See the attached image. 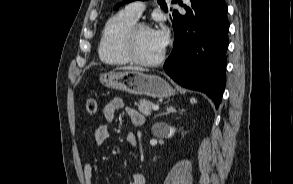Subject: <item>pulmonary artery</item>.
Segmentation results:
<instances>
[{
	"instance_id": "e3ab8cb5",
	"label": "pulmonary artery",
	"mask_w": 293,
	"mask_h": 184,
	"mask_svg": "<svg viewBox=\"0 0 293 184\" xmlns=\"http://www.w3.org/2000/svg\"><path fill=\"white\" fill-rule=\"evenodd\" d=\"M144 10V3L140 1H135L132 3H129L125 9L124 12L127 13L129 16L138 19L140 15L142 14Z\"/></svg>"
}]
</instances>
